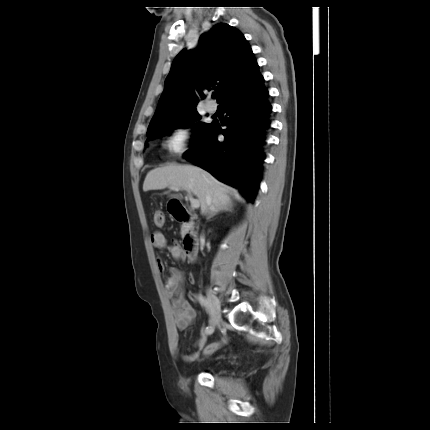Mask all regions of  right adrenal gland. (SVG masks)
<instances>
[{"mask_svg": "<svg viewBox=\"0 0 430 430\" xmlns=\"http://www.w3.org/2000/svg\"><path fill=\"white\" fill-rule=\"evenodd\" d=\"M226 210V211H231L232 207L231 206H224L223 208H220L218 210H216L215 212H213L208 218L207 220H209L210 218L214 217L216 214H218L219 212Z\"/></svg>", "mask_w": 430, "mask_h": 430, "instance_id": "1", "label": "right adrenal gland"}]
</instances>
